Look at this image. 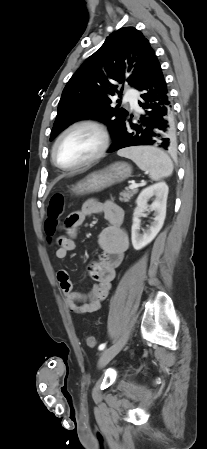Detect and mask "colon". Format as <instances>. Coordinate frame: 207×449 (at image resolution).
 Masks as SVG:
<instances>
[{"label":"colon","instance_id":"5ec220e1","mask_svg":"<svg viewBox=\"0 0 207 449\" xmlns=\"http://www.w3.org/2000/svg\"><path fill=\"white\" fill-rule=\"evenodd\" d=\"M64 210V199L61 194H54L47 206V220L45 223V231L48 235H54L57 231L59 221ZM85 343L88 347L96 346V339L93 335L85 336Z\"/></svg>","mask_w":207,"mask_h":449}]
</instances>
